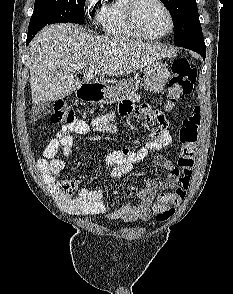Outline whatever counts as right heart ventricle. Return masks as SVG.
<instances>
[{"label": "right heart ventricle", "instance_id": "obj_1", "mask_svg": "<svg viewBox=\"0 0 233 294\" xmlns=\"http://www.w3.org/2000/svg\"><path fill=\"white\" fill-rule=\"evenodd\" d=\"M128 5L129 0H112L102 7L97 21L105 34L117 38H142L129 24Z\"/></svg>", "mask_w": 233, "mask_h": 294}]
</instances>
